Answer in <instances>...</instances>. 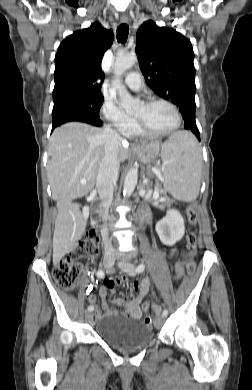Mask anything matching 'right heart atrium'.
<instances>
[{
    "mask_svg": "<svg viewBox=\"0 0 252 390\" xmlns=\"http://www.w3.org/2000/svg\"><path fill=\"white\" fill-rule=\"evenodd\" d=\"M102 114L108 125L125 137L131 136L135 130L134 119L126 115L116 103L105 101L102 106Z\"/></svg>",
    "mask_w": 252,
    "mask_h": 390,
    "instance_id": "1",
    "label": "right heart atrium"
}]
</instances>
